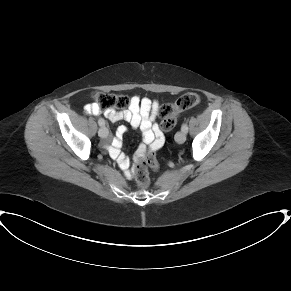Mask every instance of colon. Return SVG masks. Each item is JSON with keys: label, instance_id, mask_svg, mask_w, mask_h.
Segmentation results:
<instances>
[{"label": "colon", "instance_id": "colon-1", "mask_svg": "<svg viewBox=\"0 0 291 291\" xmlns=\"http://www.w3.org/2000/svg\"><path fill=\"white\" fill-rule=\"evenodd\" d=\"M93 98L95 104L102 112L113 108L125 107L129 104V99L127 96L112 92L98 91L93 94ZM199 102L200 98L196 93H186L180 96L176 102L167 103L160 106L158 113L162 119V130H171L177 122L179 113L183 110L196 106ZM160 146V141H156L147 150H140L135 157L134 174L139 188L145 189L150 185L148 165L153 167L156 166L155 152L160 148Z\"/></svg>", "mask_w": 291, "mask_h": 291}]
</instances>
